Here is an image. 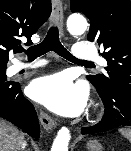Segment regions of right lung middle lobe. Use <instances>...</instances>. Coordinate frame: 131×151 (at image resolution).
Instances as JSON below:
<instances>
[{
  "label": "right lung middle lobe",
  "mask_w": 131,
  "mask_h": 151,
  "mask_svg": "<svg viewBox=\"0 0 131 151\" xmlns=\"http://www.w3.org/2000/svg\"><path fill=\"white\" fill-rule=\"evenodd\" d=\"M6 66L7 62L0 63V79L6 78Z\"/></svg>",
  "instance_id": "1"
}]
</instances>
